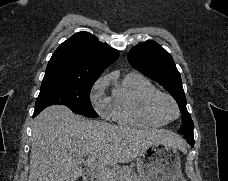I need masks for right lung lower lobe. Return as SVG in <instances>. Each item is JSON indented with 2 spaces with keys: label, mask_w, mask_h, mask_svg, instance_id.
<instances>
[{
  "label": "right lung lower lobe",
  "mask_w": 228,
  "mask_h": 181,
  "mask_svg": "<svg viewBox=\"0 0 228 181\" xmlns=\"http://www.w3.org/2000/svg\"><path fill=\"white\" fill-rule=\"evenodd\" d=\"M38 114H39L38 112H34L33 117H35V116L38 115Z\"/></svg>",
  "instance_id": "1"
}]
</instances>
